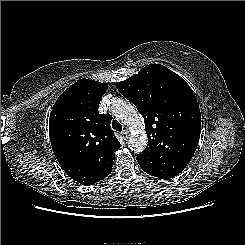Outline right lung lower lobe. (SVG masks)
I'll use <instances>...</instances> for the list:
<instances>
[{
    "label": "right lung lower lobe",
    "instance_id": "right-lung-lower-lobe-1",
    "mask_svg": "<svg viewBox=\"0 0 245 245\" xmlns=\"http://www.w3.org/2000/svg\"><path fill=\"white\" fill-rule=\"evenodd\" d=\"M112 167H113V163L109 164L107 167H105L104 170V175L102 178H105L107 175H109L112 171ZM64 171L68 174V176H70L72 179H74L75 181H77L79 183V177L76 174V171L72 168H64Z\"/></svg>",
    "mask_w": 245,
    "mask_h": 245
}]
</instances>
